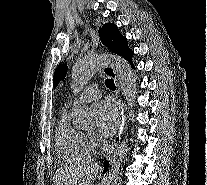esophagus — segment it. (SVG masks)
<instances>
[{
    "mask_svg": "<svg viewBox=\"0 0 207 185\" xmlns=\"http://www.w3.org/2000/svg\"><path fill=\"white\" fill-rule=\"evenodd\" d=\"M104 72L113 79L114 84L116 86L115 97L119 98V78L115 72V67H109V66L104 67ZM117 119H118L117 128H119V131L116 132V136L111 144V147L108 150L105 160H101L100 162L101 173L109 172V169H108L109 158L114 157L116 148L118 146V143L120 142L121 136L125 135V132L122 131V128H126V124H127L125 110H118Z\"/></svg>",
    "mask_w": 207,
    "mask_h": 185,
    "instance_id": "1",
    "label": "esophagus"
}]
</instances>
